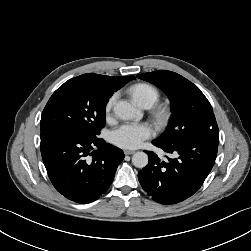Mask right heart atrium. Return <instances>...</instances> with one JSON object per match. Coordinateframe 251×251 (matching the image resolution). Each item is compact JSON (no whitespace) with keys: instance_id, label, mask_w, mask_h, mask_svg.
Instances as JSON below:
<instances>
[{"instance_id":"1","label":"right heart atrium","mask_w":251,"mask_h":251,"mask_svg":"<svg viewBox=\"0 0 251 251\" xmlns=\"http://www.w3.org/2000/svg\"><path fill=\"white\" fill-rule=\"evenodd\" d=\"M116 98H117V95H116V94H112V95L108 98V100H107V102H106V104H105V114H106V117H109V116H110L111 111H112V109H113V106H114V104H115V102H116Z\"/></svg>"}]
</instances>
